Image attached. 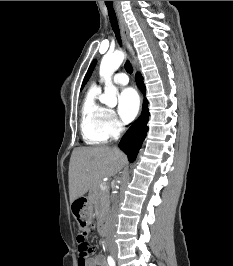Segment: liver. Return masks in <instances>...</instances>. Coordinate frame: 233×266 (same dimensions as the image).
Masks as SVG:
<instances>
[{
    "mask_svg": "<svg viewBox=\"0 0 233 266\" xmlns=\"http://www.w3.org/2000/svg\"><path fill=\"white\" fill-rule=\"evenodd\" d=\"M126 156L108 146L79 147L69 163V198L73 203L104 177L115 176L125 165Z\"/></svg>",
    "mask_w": 233,
    "mask_h": 266,
    "instance_id": "1",
    "label": "liver"
}]
</instances>
